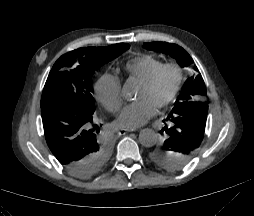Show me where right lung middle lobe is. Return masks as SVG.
Listing matches in <instances>:
<instances>
[{
    "label": "right lung middle lobe",
    "mask_w": 254,
    "mask_h": 216,
    "mask_svg": "<svg viewBox=\"0 0 254 216\" xmlns=\"http://www.w3.org/2000/svg\"><path fill=\"white\" fill-rule=\"evenodd\" d=\"M129 47L128 44L120 43L107 47L80 48L62 55L53 65L45 83L41 108L49 104L61 103L79 112L93 114L95 111L92 97L94 72ZM95 132H100L97 125ZM98 138L102 144L96 168L99 172L110 157L111 145L104 137ZM72 175L77 176L78 174Z\"/></svg>",
    "instance_id": "right-lung-middle-lobe-1"
}]
</instances>
